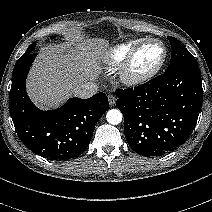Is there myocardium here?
Listing matches in <instances>:
<instances>
[{"instance_id": "obj_1", "label": "myocardium", "mask_w": 212, "mask_h": 212, "mask_svg": "<svg viewBox=\"0 0 212 212\" xmlns=\"http://www.w3.org/2000/svg\"><path fill=\"white\" fill-rule=\"evenodd\" d=\"M150 44H158L162 48V56L158 63L153 67L145 70V71H136L135 70V60L140 53V51ZM167 59V49L165 45L157 39H146L139 42L131 53L128 55L126 60L124 61L121 71H120V79L121 81L128 86H137L141 85L154 76L162 69Z\"/></svg>"}]
</instances>
